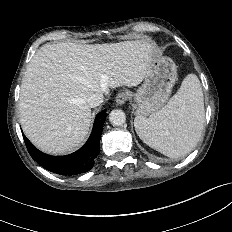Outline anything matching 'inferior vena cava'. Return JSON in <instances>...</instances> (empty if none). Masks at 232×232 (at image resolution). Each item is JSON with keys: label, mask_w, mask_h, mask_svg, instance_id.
<instances>
[{"label": "inferior vena cava", "mask_w": 232, "mask_h": 232, "mask_svg": "<svg viewBox=\"0 0 232 232\" xmlns=\"http://www.w3.org/2000/svg\"><path fill=\"white\" fill-rule=\"evenodd\" d=\"M103 101H104V96L102 93H93L87 99V103L91 108L99 106Z\"/></svg>", "instance_id": "602c4592"}]
</instances>
